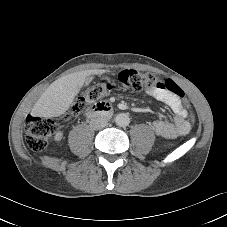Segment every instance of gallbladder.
Listing matches in <instances>:
<instances>
[{"label":"gallbladder","mask_w":227,"mask_h":227,"mask_svg":"<svg viewBox=\"0 0 227 227\" xmlns=\"http://www.w3.org/2000/svg\"><path fill=\"white\" fill-rule=\"evenodd\" d=\"M91 80H92L91 77L87 78L86 81H85V85H88L91 82Z\"/></svg>","instance_id":"obj_1"}]
</instances>
